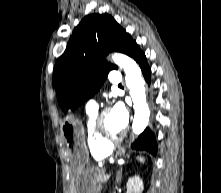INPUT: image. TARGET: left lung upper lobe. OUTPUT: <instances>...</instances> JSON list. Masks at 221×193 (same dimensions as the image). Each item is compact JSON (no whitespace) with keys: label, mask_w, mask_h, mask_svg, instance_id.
I'll use <instances>...</instances> for the list:
<instances>
[{"label":"left lung upper lobe","mask_w":221,"mask_h":193,"mask_svg":"<svg viewBox=\"0 0 221 193\" xmlns=\"http://www.w3.org/2000/svg\"><path fill=\"white\" fill-rule=\"evenodd\" d=\"M135 43L112 16L84 17L54 67L53 83L62 110H75L100 89L109 71L118 69L105 61L108 53L128 55Z\"/></svg>","instance_id":"1"}]
</instances>
